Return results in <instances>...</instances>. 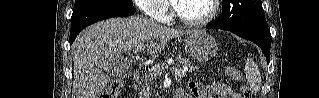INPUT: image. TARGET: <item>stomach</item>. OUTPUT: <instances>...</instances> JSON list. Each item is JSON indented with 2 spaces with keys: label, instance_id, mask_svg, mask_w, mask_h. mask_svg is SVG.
Returning a JSON list of instances; mask_svg holds the SVG:
<instances>
[{
  "label": "stomach",
  "instance_id": "obj_1",
  "mask_svg": "<svg viewBox=\"0 0 319 98\" xmlns=\"http://www.w3.org/2000/svg\"><path fill=\"white\" fill-rule=\"evenodd\" d=\"M185 51L189 57L206 62L213 58L218 46L215 39L204 31H193L185 40Z\"/></svg>",
  "mask_w": 319,
  "mask_h": 98
}]
</instances>
